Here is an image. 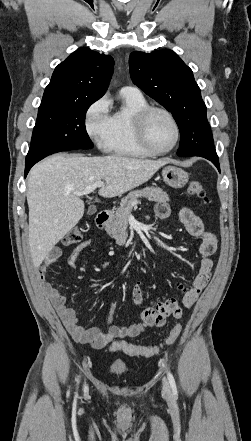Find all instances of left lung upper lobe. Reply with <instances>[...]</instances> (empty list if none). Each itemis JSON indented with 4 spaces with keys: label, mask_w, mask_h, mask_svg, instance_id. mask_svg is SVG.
I'll return each instance as SVG.
<instances>
[{
    "label": "left lung upper lobe",
    "mask_w": 251,
    "mask_h": 441,
    "mask_svg": "<svg viewBox=\"0 0 251 441\" xmlns=\"http://www.w3.org/2000/svg\"><path fill=\"white\" fill-rule=\"evenodd\" d=\"M129 69L133 83L172 113L180 135L198 123H208L192 70L172 50L133 52Z\"/></svg>",
    "instance_id": "left-lung-upper-lobe-1"
}]
</instances>
